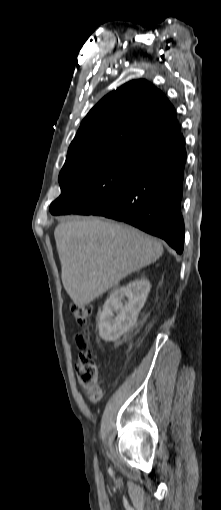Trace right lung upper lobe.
<instances>
[{
    "mask_svg": "<svg viewBox=\"0 0 221 510\" xmlns=\"http://www.w3.org/2000/svg\"><path fill=\"white\" fill-rule=\"evenodd\" d=\"M182 136L175 109L146 80L130 81L101 99L71 142L67 159L127 146L147 150Z\"/></svg>",
    "mask_w": 221,
    "mask_h": 510,
    "instance_id": "cb5924a9",
    "label": "right lung upper lobe"
}]
</instances>
